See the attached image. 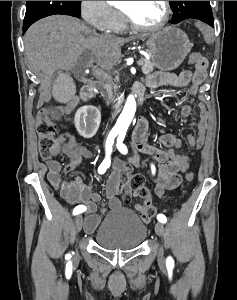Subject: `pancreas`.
I'll return each mask as SVG.
<instances>
[{"label": "pancreas", "instance_id": "cf45deb5", "mask_svg": "<svg viewBox=\"0 0 237 300\" xmlns=\"http://www.w3.org/2000/svg\"><path fill=\"white\" fill-rule=\"evenodd\" d=\"M140 60L143 62L142 71L144 75H150V73H152L153 71V63H151V61H147V59H140ZM100 83L102 85L101 93H111L109 89L110 87H113V85H115L114 79H112L111 75H106L104 79H101Z\"/></svg>", "mask_w": 237, "mask_h": 300}]
</instances>
